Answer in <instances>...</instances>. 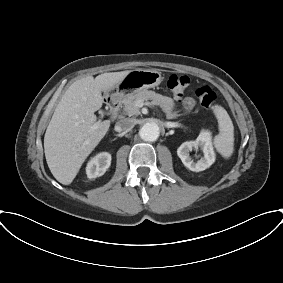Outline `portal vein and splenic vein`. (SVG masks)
I'll return each instance as SVG.
<instances>
[{"instance_id":"1","label":"portal vein and splenic vein","mask_w":283,"mask_h":283,"mask_svg":"<svg viewBox=\"0 0 283 283\" xmlns=\"http://www.w3.org/2000/svg\"><path fill=\"white\" fill-rule=\"evenodd\" d=\"M150 104H151V103H149V102H145V103H144V102H141V101L138 102V106H139V107H142L143 105H150Z\"/></svg>"}]
</instances>
